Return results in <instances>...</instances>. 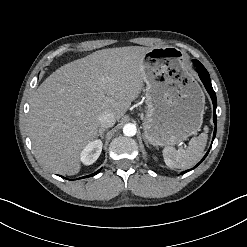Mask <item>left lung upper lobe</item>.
<instances>
[{
	"label": "left lung upper lobe",
	"instance_id": "obj_1",
	"mask_svg": "<svg viewBox=\"0 0 247 247\" xmlns=\"http://www.w3.org/2000/svg\"><path fill=\"white\" fill-rule=\"evenodd\" d=\"M198 60H193V62H197Z\"/></svg>",
	"mask_w": 247,
	"mask_h": 247
}]
</instances>
